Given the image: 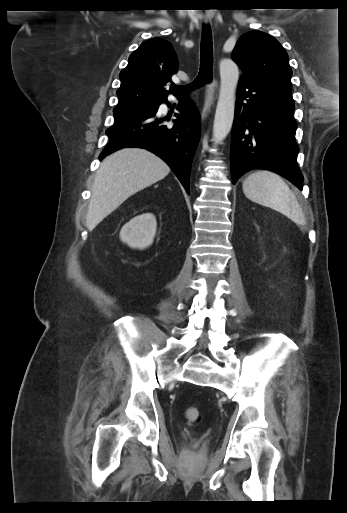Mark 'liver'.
Instances as JSON below:
<instances>
[{
  "label": "liver",
  "instance_id": "6515ba94",
  "mask_svg": "<svg viewBox=\"0 0 347 513\" xmlns=\"http://www.w3.org/2000/svg\"><path fill=\"white\" fill-rule=\"evenodd\" d=\"M169 166L143 148L107 156L96 172L86 226L91 231L130 196L165 178Z\"/></svg>",
  "mask_w": 347,
  "mask_h": 513
}]
</instances>
